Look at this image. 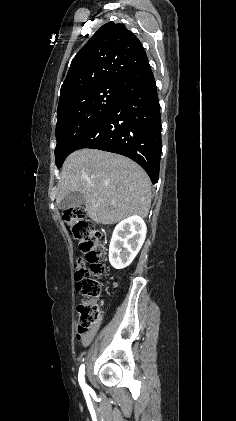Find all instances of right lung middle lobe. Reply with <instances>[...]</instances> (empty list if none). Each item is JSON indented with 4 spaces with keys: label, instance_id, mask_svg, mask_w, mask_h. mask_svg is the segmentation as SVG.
<instances>
[{
    "label": "right lung middle lobe",
    "instance_id": "obj_1",
    "mask_svg": "<svg viewBox=\"0 0 236 421\" xmlns=\"http://www.w3.org/2000/svg\"><path fill=\"white\" fill-rule=\"evenodd\" d=\"M122 98L119 86L81 93L58 106L55 149L60 168L76 143L96 126Z\"/></svg>",
    "mask_w": 236,
    "mask_h": 421
}]
</instances>
